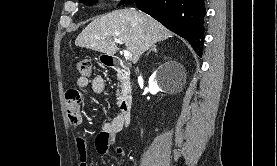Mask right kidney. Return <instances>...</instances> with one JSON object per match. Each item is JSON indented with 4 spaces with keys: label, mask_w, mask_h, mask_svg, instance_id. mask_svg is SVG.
<instances>
[{
    "label": "right kidney",
    "mask_w": 277,
    "mask_h": 166,
    "mask_svg": "<svg viewBox=\"0 0 277 166\" xmlns=\"http://www.w3.org/2000/svg\"><path fill=\"white\" fill-rule=\"evenodd\" d=\"M164 83L162 81V75L160 72L154 73L149 79V91L151 94H156L159 91H162L164 87Z\"/></svg>",
    "instance_id": "ca27d5eb"
}]
</instances>
